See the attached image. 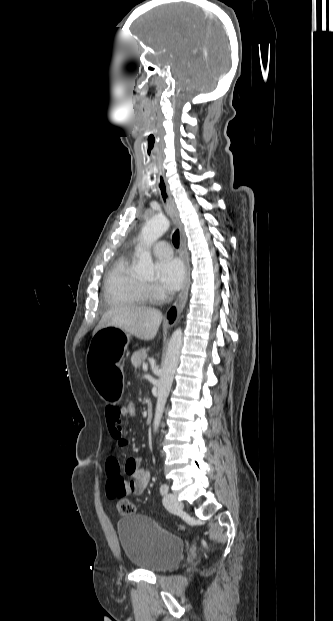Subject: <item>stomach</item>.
Segmentation results:
<instances>
[{"mask_svg":"<svg viewBox=\"0 0 333 621\" xmlns=\"http://www.w3.org/2000/svg\"><path fill=\"white\" fill-rule=\"evenodd\" d=\"M130 337L120 328L107 326L97 331L90 342L86 365L94 390L105 403L111 400L115 404L125 390L121 350Z\"/></svg>","mask_w":333,"mask_h":621,"instance_id":"1","label":"stomach"}]
</instances>
